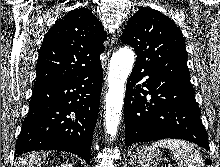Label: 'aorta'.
<instances>
[{"instance_id": "obj_1", "label": "aorta", "mask_w": 220, "mask_h": 167, "mask_svg": "<svg viewBox=\"0 0 220 167\" xmlns=\"http://www.w3.org/2000/svg\"><path fill=\"white\" fill-rule=\"evenodd\" d=\"M134 61V52L128 47L120 48L110 60L105 119L107 134L112 139L117 134L124 101V86L133 68Z\"/></svg>"}]
</instances>
